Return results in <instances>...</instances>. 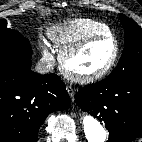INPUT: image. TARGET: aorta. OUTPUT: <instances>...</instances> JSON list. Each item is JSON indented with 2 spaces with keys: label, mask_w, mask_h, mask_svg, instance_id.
<instances>
[{
  "label": "aorta",
  "mask_w": 142,
  "mask_h": 142,
  "mask_svg": "<svg viewBox=\"0 0 142 142\" xmlns=\"http://www.w3.org/2000/svg\"><path fill=\"white\" fill-rule=\"evenodd\" d=\"M82 124L88 142H105L107 132L95 117L90 114H84Z\"/></svg>",
  "instance_id": "1"
}]
</instances>
